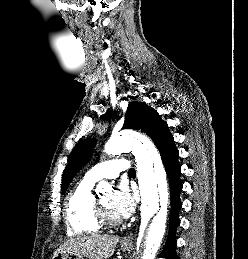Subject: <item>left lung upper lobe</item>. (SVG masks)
I'll return each mask as SVG.
<instances>
[{"label": "left lung upper lobe", "mask_w": 248, "mask_h": 259, "mask_svg": "<svg viewBox=\"0 0 248 259\" xmlns=\"http://www.w3.org/2000/svg\"><path fill=\"white\" fill-rule=\"evenodd\" d=\"M123 128L141 130L150 136L157 148L173 140L167 123L161 120L155 109L142 102H130L125 114ZM95 139H85L77 144L62 178L61 191H66L77 172L89 161L95 146Z\"/></svg>", "instance_id": "left-lung-upper-lobe-1"}]
</instances>
